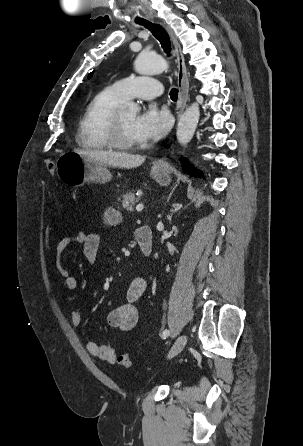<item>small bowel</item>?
Wrapping results in <instances>:
<instances>
[{
  "label": "small bowel",
  "mask_w": 303,
  "mask_h": 446,
  "mask_svg": "<svg viewBox=\"0 0 303 446\" xmlns=\"http://www.w3.org/2000/svg\"><path fill=\"white\" fill-rule=\"evenodd\" d=\"M105 222L109 225H115L120 221L119 213L114 209H109L105 213ZM101 237L96 233H90L83 230L76 231L73 235L63 237L57 244L55 250V265L57 272L64 280L65 288L73 291L78 288V280L70 275L68 269L64 267L60 261L61 255L72 245L79 244L82 246L83 254L86 260L93 264L97 258L100 248ZM147 287L146 279L142 276L135 277L127 289V302L111 310L107 316V321L110 326L127 332L132 330L138 322V310L136 302L143 295ZM71 320L74 326H79L81 323V315L78 311H71ZM87 352L110 364L116 362L115 350L105 344H98L89 341L86 344Z\"/></svg>",
  "instance_id": "small-bowel-1"
}]
</instances>
